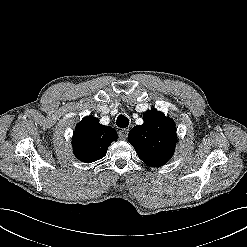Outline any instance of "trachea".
I'll list each match as a JSON object with an SVG mask.
<instances>
[{
	"label": "trachea",
	"mask_w": 247,
	"mask_h": 247,
	"mask_svg": "<svg viewBox=\"0 0 247 247\" xmlns=\"http://www.w3.org/2000/svg\"><path fill=\"white\" fill-rule=\"evenodd\" d=\"M116 124L120 128H126L129 125V119L124 115H119L117 117Z\"/></svg>",
	"instance_id": "obj_1"
}]
</instances>
